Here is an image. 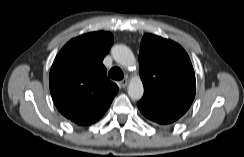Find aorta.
<instances>
[{"mask_svg": "<svg viewBox=\"0 0 244 157\" xmlns=\"http://www.w3.org/2000/svg\"><path fill=\"white\" fill-rule=\"evenodd\" d=\"M113 59L120 65L130 68L135 65V57L132 51L125 45H115L111 50ZM144 93L140 77H133L128 85V95L133 100H139Z\"/></svg>", "mask_w": 244, "mask_h": 157, "instance_id": "1", "label": "aorta"}]
</instances>
